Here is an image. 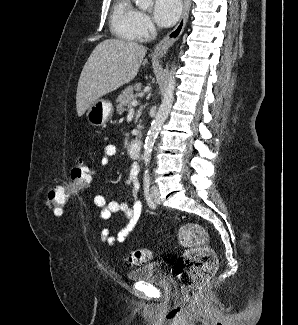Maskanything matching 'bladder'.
<instances>
[{
    "mask_svg": "<svg viewBox=\"0 0 298 325\" xmlns=\"http://www.w3.org/2000/svg\"><path fill=\"white\" fill-rule=\"evenodd\" d=\"M127 278L134 282H147L164 290L172 291L174 282L159 263H148L127 273Z\"/></svg>",
    "mask_w": 298,
    "mask_h": 325,
    "instance_id": "obj_1",
    "label": "bladder"
}]
</instances>
